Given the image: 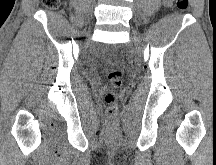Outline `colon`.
<instances>
[{
  "mask_svg": "<svg viewBox=\"0 0 216 165\" xmlns=\"http://www.w3.org/2000/svg\"><path fill=\"white\" fill-rule=\"evenodd\" d=\"M42 3L49 8H55L59 5L60 0H42ZM176 6L181 11L184 12L189 6V0H176ZM107 79L109 82V88L105 93V102L108 105L107 115L110 120H114L117 115L116 107V90L119 89L124 80V74L119 69H113L108 72Z\"/></svg>",
  "mask_w": 216,
  "mask_h": 165,
  "instance_id": "colon-1",
  "label": "colon"
}]
</instances>
